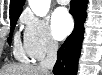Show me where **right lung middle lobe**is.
<instances>
[{
    "instance_id": "dd1d6c3e",
    "label": "right lung middle lobe",
    "mask_w": 102,
    "mask_h": 75,
    "mask_svg": "<svg viewBox=\"0 0 102 75\" xmlns=\"http://www.w3.org/2000/svg\"><path fill=\"white\" fill-rule=\"evenodd\" d=\"M19 16L20 15H16V16L10 17L11 29H10V38L8 39L9 40V44L11 43L12 33H13V30L15 28V25H16V22H17V19H18Z\"/></svg>"
}]
</instances>
